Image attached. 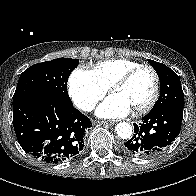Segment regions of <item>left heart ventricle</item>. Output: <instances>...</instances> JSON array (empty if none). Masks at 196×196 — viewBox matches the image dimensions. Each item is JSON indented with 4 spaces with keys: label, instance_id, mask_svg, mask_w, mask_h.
Here are the masks:
<instances>
[{
    "label": "left heart ventricle",
    "instance_id": "left-heart-ventricle-1",
    "mask_svg": "<svg viewBox=\"0 0 196 196\" xmlns=\"http://www.w3.org/2000/svg\"><path fill=\"white\" fill-rule=\"evenodd\" d=\"M153 90V74L149 70H142L124 87L114 91L112 95L127 104L133 111L147 103Z\"/></svg>",
    "mask_w": 196,
    "mask_h": 196
}]
</instances>
